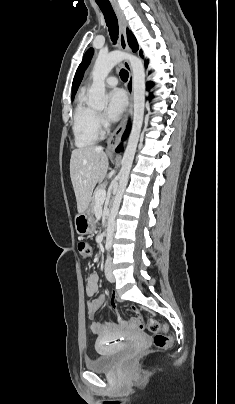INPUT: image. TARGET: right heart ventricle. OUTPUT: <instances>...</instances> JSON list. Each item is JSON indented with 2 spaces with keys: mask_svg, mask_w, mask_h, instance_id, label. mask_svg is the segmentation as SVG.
I'll return each mask as SVG.
<instances>
[{
  "mask_svg": "<svg viewBox=\"0 0 235 404\" xmlns=\"http://www.w3.org/2000/svg\"><path fill=\"white\" fill-rule=\"evenodd\" d=\"M72 132L78 147L91 146L101 137L97 113L88 105L84 96H80L77 100L73 114Z\"/></svg>",
  "mask_w": 235,
  "mask_h": 404,
  "instance_id": "e07e8e85",
  "label": "right heart ventricle"
}]
</instances>
